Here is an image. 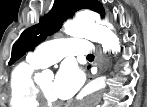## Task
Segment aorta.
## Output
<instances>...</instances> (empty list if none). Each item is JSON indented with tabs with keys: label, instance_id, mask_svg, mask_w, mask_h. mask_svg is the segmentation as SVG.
<instances>
[{
	"label": "aorta",
	"instance_id": "aorta-1",
	"mask_svg": "<svg viewBox=\"0 0 147 107\" xmlns=\"http://www.w3.org/2000/svg\"><path fill=\"white\" fill-rule=\"evenodd\" d=\"M64 32L73 37H81L98 42L104 50L117 53L120 50V42L117 35L105 25L95 22L94 19L86 17H77L64 24ZM49 70L43 71L41 76H51ZM105 85V78H98L91 82L86 89L87 94L84 97L86 107L97 105L102 98V90Z\"/></svg>",
	"mask_w": 147,
	"mask_h": 107
}]
</instances>
